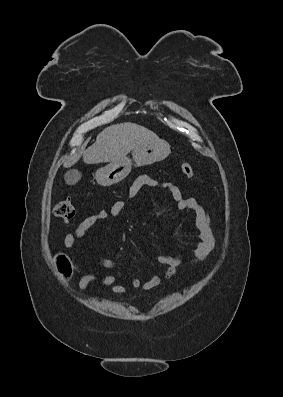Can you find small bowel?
Instances as JSON below:
<instances>
[{
  "label": "small bowel",
  "instance_id": "small-bowel-1",
  "mask_svg": "<svg viewBox=\"0 0 283 397\" xmlns=\"http://www.w3.org/2000/svg\"><path fill=\"white\" fill-rule=\"evenodd\" d=\"M144 187H159L167 189L173 200L176 202L179 210L191 211L195 215L196 228L199 231V239L197 247L194 250L193 263H199L204 261L210 253L213 251L215 246V240L212 231V224L210 216L207 210L201 205V203L195 198H184L180 190L171 183H161L154 178L142 175L139 176L130 186L128 190V197L132 198ZM125 206L124 200H118L109 208L102 209L82 220L74 232L66 234L64 237V246L67 250H72L77 240L82 239L90 228H92L97 222L109 219L117 218L122 209ZM159 264L165 265L164 271L165 278H172L176 274V269L182 261L181 255H160L157 257ZM117 263L111 259H104L100 262L99 266L104 269H111L116 267ZM75 270L80 275L78 287L81 291H85L91 283H99L104 286L111 287L112 291L118 294L125 293V287L118 283L117 278L113 275L98 276L94 273L88 272L82 269L79 265L75 264ZM161 282L159 276H152L149 280L142 283L138 278H134L131 281V285L134 288H142L144 291H150L154 287L158 286Z\"/></svg>",
  "mask_w": 283,
  "mask_h": 397
}]
</instances>
